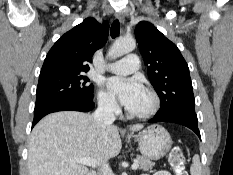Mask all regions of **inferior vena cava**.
Segmentation results:
<instances>
[{"label":"inferior vena cava","instance_id":"1","mask_svg":"<svg viewBox=\"0 0 233 175\" xmlns=\"http://www.w3.org/2000/svg\"><path fill=\"white\" fill-rule=\"evenodd\" d=\"M114 107L115 103L112 99H103L99 101L98 108L95 110L93 118L101 128L105 129L115 121ZM101 175H114L107 161L102 164Z\"/></svg>","mask_w":233,"mask_h":175}]
</instances>
